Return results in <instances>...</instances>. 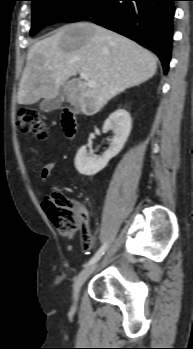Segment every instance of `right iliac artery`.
Segmentation results:
<instances>
[{
	"label": "right iliac artery",
	"mask_w": 193,
	"mask_h": 349,
	"mask_svg": "<svg viewBox=\"0 0 193 349\" xmlns=\"http://www.w3.org/2000/svg\"><path fill=\"white\" fill-rule=\"evenodd\" d=\"M107 247V242H105L100 249L95 253V255L89 260L87 265L94 264L96 261L100 259V257L104 254V251Z\"/></svg>",
	"instance_id": "82829eb1"
}]
</instances>
